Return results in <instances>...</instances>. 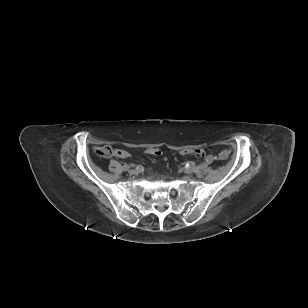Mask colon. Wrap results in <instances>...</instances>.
<instances>
[{"label": "colon", "mask_w": 308, "mask_h": 308, "mask_svg": "<svg viewBox=\"0 0 308 308\" xmlns=\"http://www.w3.org/2000/svg\"><path fill=\"white\" fill-rule=\"evenodd\" d=\"M97 153L101 156H110L113 155L115 157L118 158H127L128 157V152L123 150V149H113L111 146H104L102 148H99L97 150ZM146 153L150 154V155H159L160 152L158 149L155 148H148L146 149ZM183 154H190V155H194L197 157H200L202 155H204V150L201 148H197V149H186L182 151Z\"/></svg>", "instance_id": "colon-1"}]
</instances>
